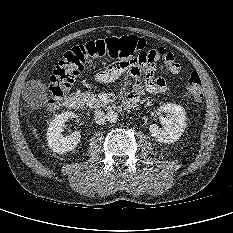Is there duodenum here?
<instances>
[{
  "instance_id": "obj_1",
  "label": "duodenum",
  "mask_w": 233,
  "mask_h": 233,
  "mask_svg": "<svg viewBox=\"0 0 233 233\" xmlns=\"http://www.w3.org/2000/svg\"><path fill=\"white\" fill-rule=\"evenodd\" d=\"M138 98L139 97L136 95L129 94L125 97V99L123 101V105L126 108H133L137 105ZM64 104H65V106H67L68 108H71L73 110H79L83 106L81 99L78 96H76L75 94H69L65 98Z\"/></svg>"
}]
</instances>
